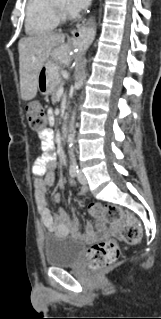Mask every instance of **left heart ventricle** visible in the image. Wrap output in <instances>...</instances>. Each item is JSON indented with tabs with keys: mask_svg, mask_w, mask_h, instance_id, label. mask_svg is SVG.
I'll return each instance as SVG.
<instances>
[{
	"mask_svg": "<svg viewBox=\"0 0 161 319\" xmlns=\"http://www.w3.org/2000/svg\"><path fill=\"white\" fill-rule=\"evenodd\" d=\"M57 6H59V7H61V8H63V9H65V0H55V2H54Z\"/></svg>",
	"mask_w": 161,
	"mask_h": 319,
	"instance_id": "left-heart-ventricle-1",
	"label": "left heart ventricle"
}]
</instances>
